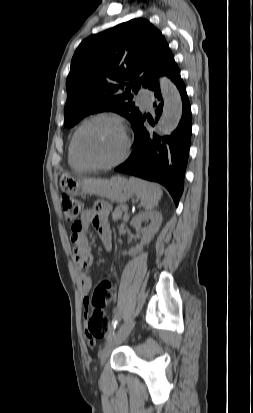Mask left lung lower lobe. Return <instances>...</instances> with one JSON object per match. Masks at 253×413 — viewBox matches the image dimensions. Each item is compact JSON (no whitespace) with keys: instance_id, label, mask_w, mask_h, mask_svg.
<instances>
[{"instance_id":"obj_1","label":"left lung lower lobe","mask_w":253,"mask_h":413,"mask_svg":"<svg viewBox=\"0 0 253 413\" xmlns=\"http://www.w3.org/2000/svg\"><path fill=\"white\" fill-rule=\"evenodd\" d=\"M162 74L168 76L179 90L182 100V117L179 125L171 135L159 137L146 127V120L154 125L153 118L141 114L133 124V151L123 164L115 168V171L161 183L178 205L183 193L184 175L189 157L192 130L191 106L174 57L169 60ZM149 89L155 99L153 106L156 108L155 121L157 122L163 107L158 80Z\"/></svg>"}]
</instances>
